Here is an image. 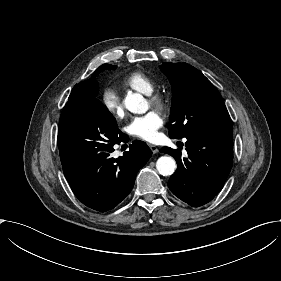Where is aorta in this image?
Segmentation results:
<instances>
[{"mask_svg":"<svg viewBox=\"0 0 281 281\" xmlns=\"http://www.w3.org/2000/svg\"><path fill=\"white\" fill-rule=\"evenodd\" d=\"M125 107L135 114H143L148 110V104L139 93H131L124 100ZM157 171L163 175H172L176 169V162L171 156H161L156 162Z\"/></svg>","mask_w":281,"mask_h":281,"instance_id":"aorta-1","label":"aorta"}]
</instances>
